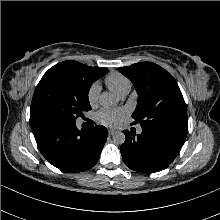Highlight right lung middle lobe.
Instances as JSON below:
<instances>
[{
  "label": "right lung middle lobe",
  "instance_id": "obj_1",
  "mask_svg": "<svg viewBox=\"0 0 220 220\" xmlns=\"http://www.w3.org/2000/svg\"><path fill=\"white\" fill-rule=\"evenodd\" d=\"M108 70L68 60L50 68L40 80L32 102L31 115H42L66 122L89 111L91 85Z\"/></svg>",
  "mask_w": 220,
  "mask_h": 220
}]
</instances>
